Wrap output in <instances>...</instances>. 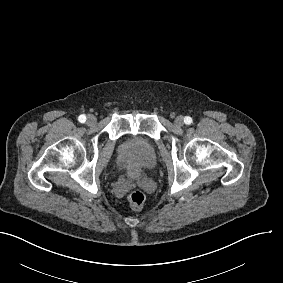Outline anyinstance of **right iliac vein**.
Masks as SVG:
<instances>
[{
	"label": "right iliac vein",
	"mask_w": 283,
	"mask_h": 283,
	"mask_svg": "<svg viewBox=\"0 0 283 283\" xmlns=\"http://www.w3.org/2000/svg\"><path fill=\"white\" fill-rule=\"evenodd\" d=\"M96 123V118L93 115H88L87 117V124L88 125H93Z\"/></svg>",
	"instance_id": "obj_1"
}]
</instances>
